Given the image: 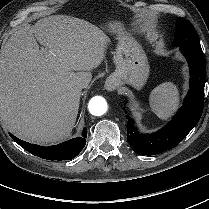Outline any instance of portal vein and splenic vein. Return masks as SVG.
Wrapping results in <instances>:
<instances>
[{"instance_id": "1", "label": "portal vein and splenic vein", "mask_w": 209, "mask_h": 209, "mask_svg": "<svg viewBox=\"0 0 209 209\" xmlns=\"http://www.w3.org/2000/svg\"><path fill=\"white\" fill-rule=\"evenodd\" d=\"M42 53L51 61H54L55 56L52 55V53H50L47 49H43Z\"/></svg>"}]
</instances>
